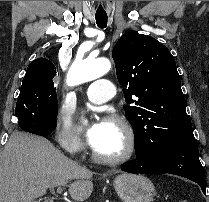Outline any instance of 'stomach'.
I'll list each match as a JSON object with an SVG mask.
<instances>
[{
	"label": "stomach",
	"mask_w": 209,
	"mask_h": 202,
	"mask_svg": "<svg viewBox=\"0 0 209 202\" xmlns=\"http://www.w3.org/2000/svg\"><path fill=\"white\" fill-rule=\"evenodd\" d=\"M114 187L123 202H151L155 187L147 177L136 174H120L114 179Z\"/></svg>",
	"instance_id": "stomach-1"
}]
</instances>
